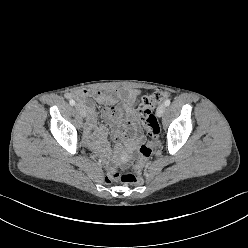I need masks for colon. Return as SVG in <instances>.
<instances>
[{
	"mask_svg": "<svg viewBox=\"0 0 248 248\" xmlns=\"http://www.w3.org/2000/svg\"><path fill=\"white\" fill-rule=\"evenodd\" d=\"M168 96L167 92L156 91L142 98L138 111L140 119L148 133L149 141L141 146L138 159L129 171L119 173L115 170H109L105 175L106 183L110 184L119 181L125 184H135L141 181L143 168L152 156L160 132L158 121L153 115L152 110Z\"/></svg>",
	"mask_w": 248,
	"mask_h": 248,
	"instance_id": "1",
	"label": "colon"
}]
</instances>
